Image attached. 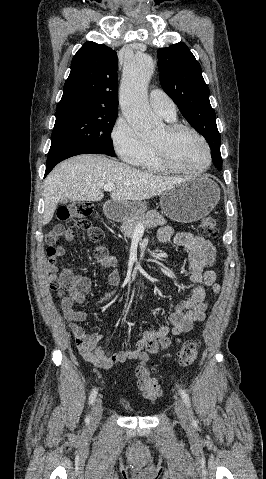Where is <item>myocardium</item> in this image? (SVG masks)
<instances>
[{"label":"myocardium","mask_w":266,"mask_h":479,"mask_svg":"<svg viewBox=\"0 0 266 479\" xmlns=\"http://www.w3.org/2000/svg\"><path fill=\"white\" fill-rule=\"evenodd\" d=\"M165 129L169 135H174L184 131L192 133L202 143L206 153V164L203 168L197 169V170H187V169L178 167L171 160V158L167 154L165 146L162 143L151 141L155 151L156 158L166 171H169L172 173L185 174V175H200L209 170L212 164L211 148L206 138L199 131H197L195 128L189 125H185L181 123H168L167 125H165Z\"/></svg>","instance_id":"obj_1"}]
</instances>
